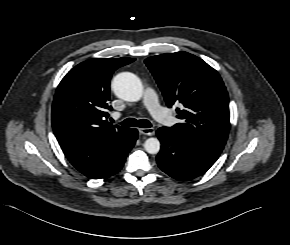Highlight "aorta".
<instances>
[{
	"label": "aorta",
	"mask_w": 290,
	"mask_h": 245,
	"mask_svg": "<svg viewBox=\"0 0 290 245\" xmlns=\"http://www.w3.org/2000/svg\"><path fill=\"white\" fill-rule=\"evenodd\" d=\"M112 89L117 97L130 102L139 101L143 95L140 79L129 72L116 75L112 81ZM144 148L149 154H157L160 151V141L157 138H148Z\"/></svg>",
	"instance_id": "obj_1"
}]
</instances>
